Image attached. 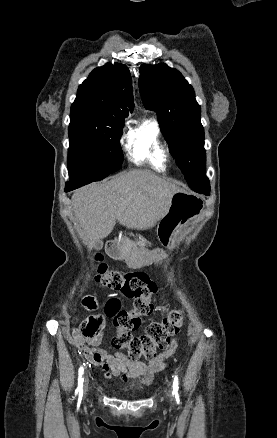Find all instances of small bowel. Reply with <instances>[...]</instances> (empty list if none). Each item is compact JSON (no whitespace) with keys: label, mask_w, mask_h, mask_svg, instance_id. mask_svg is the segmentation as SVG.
<instances>
[{"label":"small bowel","mask_w":277,"mask_h":438,"mask_svg":"<svg viewBox=\"0 0 277 438\" xmlns=\"http://www.w3.org/2000/svg\"><path fill=\"white\" fill-rule=\"evenodd\" d=\"M164 308L165 304L160 307L161 310ZM72 338L80 349V344L82 346H95L99 344L102 335H98L89 340H81L80 334L78 332H73ZM176 347L177 342L174 340L171 343V346L157 358L149 361L136 362L128 361L121 353L110 354L104 347L88 349L83 353L88 358L89 362L93 363L94 367H102L103 370L101 371V374L103 376L121 378L124 381L134 380L141 385H149L153 381L154 376L165 368L167 360ZM88 352L91 353L89 357L87 354Z\"/></svg>","instance_id":"obj_1"}]
</instances>
